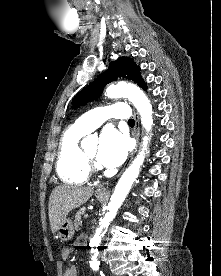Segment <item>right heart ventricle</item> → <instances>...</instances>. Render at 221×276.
I'll use <instances>...</instances> for the list:
<instances>
[{
    "mask_svg": "<svg viewBox=\"0 0 221 276\" xmlns=\"http://www.w3.org/2000/svg\"><path fill=\"white\" fill-rule=\"evenodd\" d=\"M86 133L75 126L68 128L61 136L56 170L60 179L69 184H83L90 175V168L79 142Z\"/></svg>",
    "mask_w": 221,
    "mask_h": 276,
    "instance_id": "obj_1",
    "label": "right heart ventricle"
}]
</instances>
